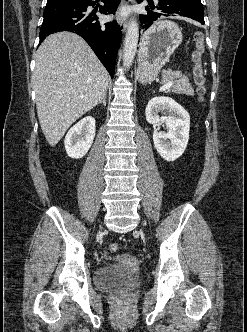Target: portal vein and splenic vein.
Segmentation results:
<instances>
[{"label": "portal vein and splenic vein", "mask_w": 247, "mask_h": 332, "mask_svg": "<svg viewBox=\"0 0 247 332\" xmlns=\"http://www.w3.org/2000/svg\"><path fill=\"white\" fill-rule=\"evenodd\" d=\"M172 85H173V82L168 81L167 83H165L163 86L160 87V91H165V90L169 89Z\"/></svg>", "instance_id": "portal-vein-and-splenic-vein-1"}]
</instances>
